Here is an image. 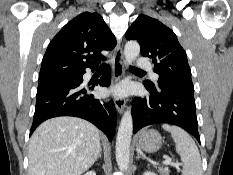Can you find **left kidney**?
I'll return each instance as SVG.
<instances>
[{
  "label": "left kidney",
  "instance_id": "left-kidney-1",
  "mask_svg": "<svg viewBox=\"0 0 233 175\" xmlns=\"http://www.w3.org/2000/svg\"><path fill=\"white\" fill-rule=\"evenodd\" d=\"M143 175H156L154 172L146 171Z\"/></svg>",
  "mask_w": 233,
  "mask_h": 175
}]
</instances>
